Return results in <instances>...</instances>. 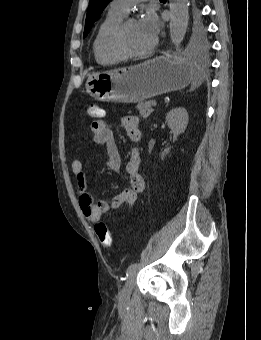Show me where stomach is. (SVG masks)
<instances>
[{"label": "stomach", "mask_w": 261, "mask_h": 340, "mask_svg": "<svg viewBox=\"0 0 261 340\" xmlns=\"http://www.w3.org/2000/svg\"><path fill=\"white\" fill-rule=\"evenodd\" d=\"M195 73L183 59L159 56L138 65L94 73L88 77L86 89L99 101L136 103L185 88Z\"/></svg>", "instance_id": "1"}]
</instances>
